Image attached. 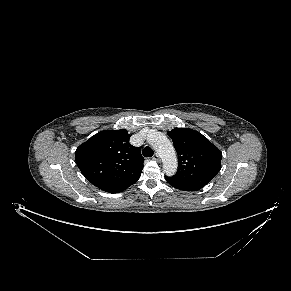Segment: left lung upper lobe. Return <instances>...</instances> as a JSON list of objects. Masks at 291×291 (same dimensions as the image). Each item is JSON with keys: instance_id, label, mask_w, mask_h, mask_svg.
Returning <instances> with one entry per match:
<instances>
[{"instance_id": "obj_1", "label": "left lung upper lobe", "mask_w": 291, "mask_h": 291, "mask_svg": "<svg viewBox=\"0 0 291 291\" xmlns=\"http://www.w3.org/2000/svg\"><path fill=\"white\" fill-rule=\"evenodd\" d=\"M178 155L177 173L169 177L180 184H208L220 171L222 152L201 133L189 128L168 132Z\"/></svg>"}]
</instances>
